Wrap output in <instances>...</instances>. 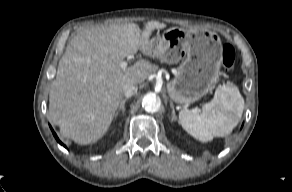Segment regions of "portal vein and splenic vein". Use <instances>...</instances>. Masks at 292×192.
I'll return each instance as SVG.
<instances>
[{"label":"portal vein and splenic vein","instance_id":"18ae733b","mask_svg":"<svg viewBox=\"0 0 292 192\" xmlns=\"http://www.w3.org/2000/svg\"><path fill=\"white\" fill-rule=\"evenodd\" d=\"M120 66H121V68H127L128 62L122 61V62H120Z\"/></svg>","mask_w":292,"mask_h":192}]
</instances>
